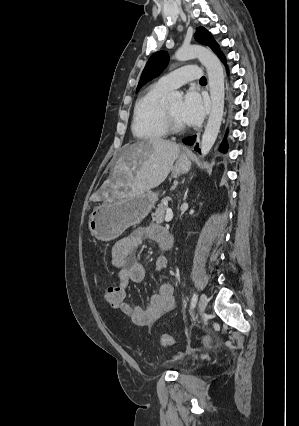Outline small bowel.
Here are the masks:
<instances>
[{
  "mask_svg": "<svg viewBox=\"0 0 299 426\" xmlns=\"http://www.w3.org/2000/svg\"><path fill=\"white\" fill-rule=\"evenodd\" d=\"M165 229L159 225L139 228L120 239L112 248V263L117 267V284L127 291L130 282L139 283L144 279L145 270L136 258L135 253L141 243L150 240L161 245ZM168 266V259L160 256L155 261V270L162 271ZM175 306L174 287L169 282L160 285L156 294L152 295L146 308L132 305L125 301L121 311L139 326H150L169 313Z\"/></svg>",
  "mask_w": 299,
  "mask_h": 426,
  "instance_id": "1",
  "label": "small bowel"
}]
</instances>
